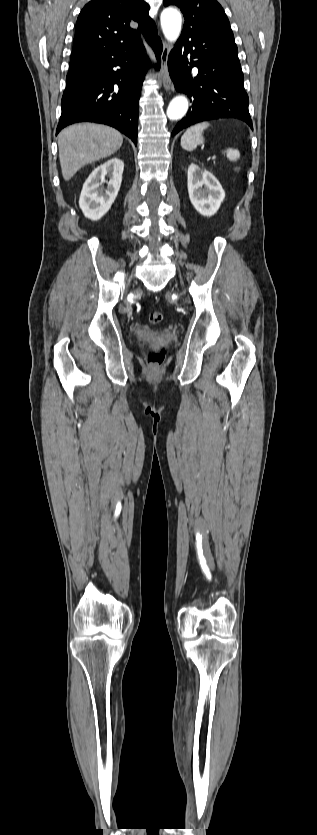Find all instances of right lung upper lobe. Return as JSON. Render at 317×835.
<instances>
[{
    "label": "right lung upper lobe",
    "mask_w": 317,
    "mask_h": 835,
    "mask_svg": "<svg viewBox=\"0 0 317 835\" xmlns=\"http://www.w3.org/2000/svg\"><path fill=\"white\" fill-rule=\"evenodd\" d=\"M142 0H92L80 12L73 52L88 49L114 51L155 29Z\"/></svg>",
    "instance_id": "right-lung-upper-lobe-1"
}]
</instances>
